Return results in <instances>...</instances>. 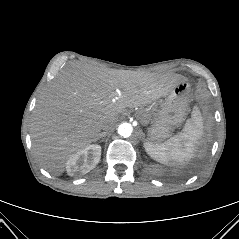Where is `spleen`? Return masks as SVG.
Returning a JSON list of instances; mask_svg holds the SVG:
<instances>
[{"mask_svg":"<svg viewBox=\"0 0 239 239\" xmlns=\"http://www.w3.org/2000/svg\"><path fill=\"white\" fill-rule=\"evenodd\" d=\"M203 119L197 107L181 132L162 143L145 142L144 148L151 158L162 164H181L189 161L202 137Z\"/></svg>","mask_w":239,"mask_h":239,"instance_id":"obj_1","label":"spleen"}]
</instances>
